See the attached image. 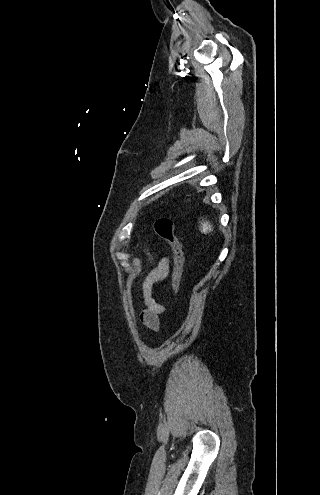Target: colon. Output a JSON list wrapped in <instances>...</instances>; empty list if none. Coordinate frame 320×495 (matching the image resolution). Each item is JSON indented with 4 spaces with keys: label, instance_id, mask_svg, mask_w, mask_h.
<instances>
[{
    "label": "colon",
    "instance_id": "1",
    "mask_svg": "<svg viewBox=\"0 0 320 495\" xmlns=\"http://www.w3.org/2000/svg\"><path fill=\"white\" fill-rule=\"evenodd\" d=\"M155 232L171 247L174 255V268L172 275V291L174 295L179 292L180 281L183 274L185 255L181 240L176 234L175 223L169 217H160L154 223Z\"/></svg>",
    "mask_w": 320,
    "mask_h": 495
}]
</instances>
